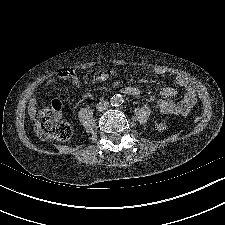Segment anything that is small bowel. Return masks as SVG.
<instances>
[{"instance_id":"obj_1","label":"small bowel","mask_w":225,"mask_h":225,"mask_svg":"<svg viewBox=\"0 0 225 225\" xmlns=\"http://www.w3.org/2000/svg\"><path fill=\"white\" fill-rule=\"evenodd\" d=\"M178 83L180 85H185V81L182 78H179ZM53 82V80H47L45 82L46 85H49ZM71 83L73 86H79L81 84V80L79 79V77L77 76H73L71 79ZM125 92L129 95H137L139 93V90L135 87H127L125 89ZM176 92L173 88H165L162 90V94L165 96H169V95H174ZM191 99V93L188 90L186 93V96L184 97V99L179 103V104H174L172 102H168L165 100H159L157 102V107L159 108V110L163 113H170V112H183L184 110H186L189 102ZM39 102V99L36 96H33L31 98V103L33 106L37 105Z\"/></svg>"}]
</instances>
